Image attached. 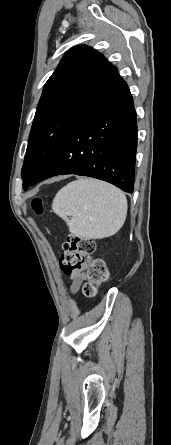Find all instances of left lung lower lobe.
<instances>
[{"instance_id":"1","label":"left lung lower lobe","mask_w":171,"mask_h":445,"mask_svg":"<svg viewBox=\"0 0 171 445\" xmlns=\"http://www.w3.org/2000/svg\"><path fill=\"white\" fill-rule=\"evenodd\" d=\"M136 112L126 82L90 108L66 133L24 189L56 175L76 174L134 189Z\"/></svg>"}]
</instances>
